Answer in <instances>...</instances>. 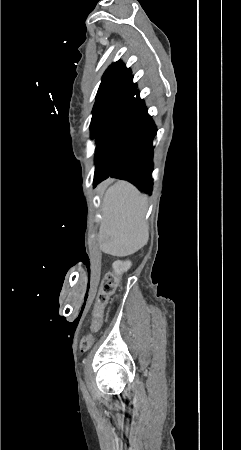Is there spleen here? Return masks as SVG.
I'll return each mask as SVG.
<instances>
[{
	"label": "spleen",
	"instance_id": "1",
	"mask_svg": "<svg viewBox=\"0 0 241 450\" xmlns=\"http://www.w3.org/2000/svg\"><path fill=\"white\" fill-rule=\"evenodd\" d=\"M98 230L100 248L110 256H131L146 246L149 238L144 220L147 196L129 182H116L106 190Z\"/></svg>",
	"mask_w": 241,
	"mask_h": 450
}]
</instances>
